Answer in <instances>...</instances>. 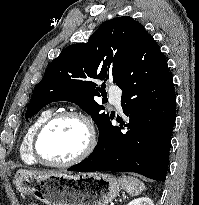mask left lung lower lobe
Wrapping results in <instances>:
<instances>
[{
    "label": "left lung lower lobe",
    "mask_w": 199,
    "mask_h": 205,
    "mask_svg": "<svg viewBox=\"0 0 199 205\" xmlns=\"http://www.w3.org/2000/svg\"><path fill=\"white\" fill-rule=\"evenodd\" d=\"M119 87L126 121L120 127L110 121L91 155L68 170L135 172L165 181L176 96L167 60L146 30Z\"/></svg>",
    "instance_id": "left-lung-lower-lobe-1"
}]
</instances>
